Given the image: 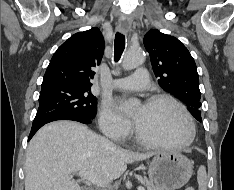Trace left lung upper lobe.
Wrapping results in <instances>:
<instances>
[{
	"instance_id": "left-lung-upper-lobe-1",
	"label": "left lung upper lobe",
	"mask_w": 234,
	"mask_h": 190,
	"mask_svg": "<svg viewBox=\"0 0 234 190\" xmlns=\"http://www.w3.org/2000/svg\"><path fill=\"white\" fill-rule=\"evenodd\" d=\"M143 42L161 87L183 101L201 122L199 77L188 49L177 38L156 29L148 31Z\"/></svg>"
}]
</instances>
